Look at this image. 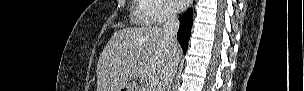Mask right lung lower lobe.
<instances>
[{
  "label": "right lung lower lobe",
  "instance_id": "right-lung-lower-lobe-1",
  "mask_svg": "<svg viewBox=\"0 0 304 91\" xmlns=\"http://www.w3.org/2000/svg\"><path fill=\"white\" fill-rule=\"evenodd\" d=\"M180 28L177 33V39L183 49V52L186 53L188 47V41L191 34V27L193 21V11L188 9L184 14L179 17Z\"/></svg>",
  "mask_w": 304,
  "mask_h": 91
}]
</instances>
